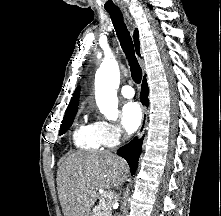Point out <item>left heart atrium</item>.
Returning <instances> with one entry per match:
<instances>
[{
    "label": "left heart atrium",
    "mask_w": 221,
    "mask_h": 216,
    "mask_svg": "<svg viewBox=\"0 0 221 216\" xmlns=\"http://www.w3.org/2000/svg\"><path fill=\"white\" fill-rule=\"evenodd\" d=\"M142 111L138 103L128 102L122 108L121 123L128 134H132L140 127Z\"/></svg>",
    "instance_id": "39dd6f15"
}]
</instances>
